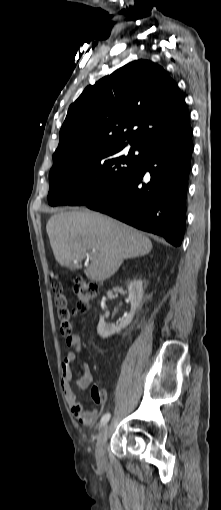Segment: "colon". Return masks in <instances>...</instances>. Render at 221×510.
I'll list each match as a JSON object with an SVG mask.
<instances>
[{
  "label": "colon",
  "mask_w": 221,
  "mask_h": 510,
  "mask_svg": "<svg viewBox=\"0 0 221 510\" xmlns=\"http://www.w3.org/2000/svg\"><path fill=\"white\" fill-rule=\"evenodd\" d=\"M56 291L55 304L57 308V315L60 320V330L63 336H70L72 333L73 325L72 318L77 312L85 313L90 303L98 293V286L91 280L86 278H78L74 285V293L76 296V308L70 306L69 298L62 292L58 284L54 285ZM91 395L95 403L100 404L103 401L102 394L97 386H93Z\"/></svg>",
  "instance_id": "colon-1"
}]
</instances>
